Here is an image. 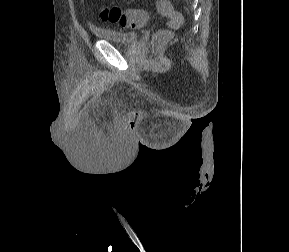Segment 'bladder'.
Returning <instances> with one entry per match:
<instances>
[{"instance_id":"1","label":"bladder","mask_w":289,"mask_h":252,"mask_svg":"<svg viewBox=\"0 0 289 252\" xmlns=\"http://www.w3.org/2000/svg\"><path fill=\"white\" fill-rule=\"evenodd\" d=\"M94 36L100 40L109 41L123 46H133L139 41V33L108 28H93Z\"/></svg>"}]
</instances>
